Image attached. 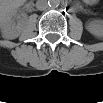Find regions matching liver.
<instances>
[{"mask_svg":"<svg viewBox=\"0 0 103 103\" xmlns=\"http://www.w3.org/2000/svg\"><path fill=\"white\" fill-rule=\"evenodd\" d=\"M6 3H8V7L9 8H16V7H18V6H20L21 5V2L20 1H8V2H6Z\"/></svg>","mask_w":103,"mask_h":103,"instance_id":"6515ba94","label":"liver"}]
</instances>
